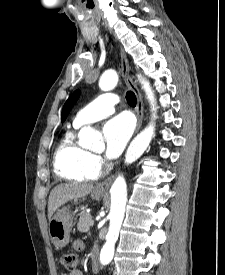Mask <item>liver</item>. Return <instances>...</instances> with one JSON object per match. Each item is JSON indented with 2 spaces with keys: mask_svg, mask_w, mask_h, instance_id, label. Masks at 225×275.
<instances>
[{
  "mask_svg": "<svg viewBox=\"0 0 225 275\" xmlns=\"http://www.w3.org/2000/svg\"><path fill=\"white\" fill-rule=\"evenodd\" d=\"M94 189L93 184L66 183L57 185L52 189L48 200V218H52L54 212L70 200H77L90 194Z\"/></svg>",
  "mask_w": 225,
  "mask_h": 275,
  "instance_id": "1",
  "label": "liver"
}]
</instances>
